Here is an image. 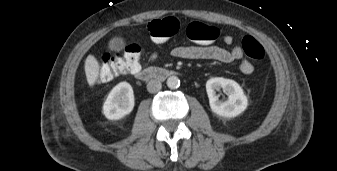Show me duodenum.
I'll use <instances>...</instances> for the list:
<instances>
[{"label":"duodenum","instance_id":"1","mask_svg":"<svg viewBox=\"0 0 337 171\" xmlns=\"http://www.w3.org/2000/svg\"><path fill=\"white\" fill-rule=\"evenodd\" d=\"M175 75V72L167 68H144L139 70L135 76L140 81L166 80Z\"/></svg>","mask_w":337,"mask_h":171}]
</instances>
